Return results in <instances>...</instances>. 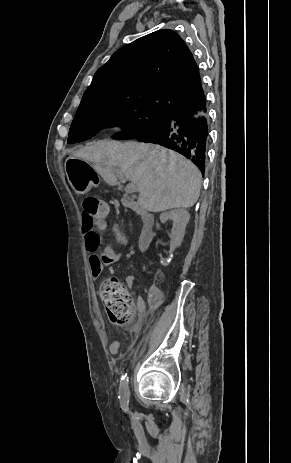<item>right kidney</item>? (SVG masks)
I'll return each mask as SVG.
<instances>
[{"mask_svg":"<svg viewBox=\"0 0 291 463\" xmlns=\"http://www.w3.org/2000/svg\"><path fill=\"white\" fill-rule=\"evenodd\" d=\"M190 219V214L184 209H175L165 212L160 216L161 223L168 220L173 221L172 235L173 240L170 244V253H172L178 246H180L185 235V228Z\"/></svg>","mask_w":291,"mask_h":463,"instance_id":"right-kidney-1","label":"right kidney"}]
</instances>
